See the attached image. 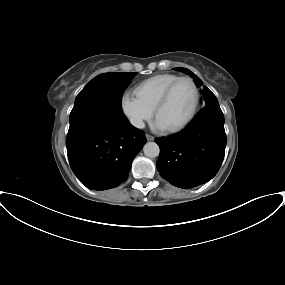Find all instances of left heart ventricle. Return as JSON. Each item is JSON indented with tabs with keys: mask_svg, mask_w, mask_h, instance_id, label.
I'll return each mask as SVG.
<instances>
[{
	"mask_svg": "<svg viewBox=\"0 0 285 285\" xmlns=\"http://www.w3.org/2000/svg\"><path fill=\"white\" fill-rule=\"evenodd\" d=\"M195 94L188 81L180 82L173 90L168 102L159 110L157 117L166 128L181 123L191 112Z\"/></svg>",
	"mask_w": 285,
	"mask_h": 285,
	"instance_id": "left-heart-ventricle-1",
	"label": "left heart ventricle"
}]
</instances>
